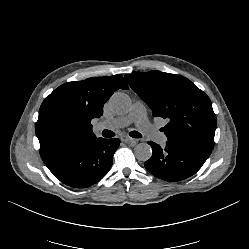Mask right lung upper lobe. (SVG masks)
<instances>
[{
  "mask_svg": "<svg viewBox=\"0 0 249 249\" xmlns=\"http://www.w3.org/2000/svg\"><path fill=\"white\" fill-rule=\"evenodd\" d=\"M118 89H128L120 75L68 82L43 101L35 125L44 162L75 143L96 139L91 120L103 114V105Z\"/></svg>",
  "mask_w": 249,
  "mask_h": 249,
  "instance_id": "obj_1",
  "label": "right lung upper lobe"
}]
</instances>
